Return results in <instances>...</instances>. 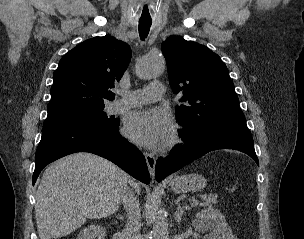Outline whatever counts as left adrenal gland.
<instances>
[{
    "label": "left adrenal gland",
    "mask_w": 304,
    "mask_h": 239,
    "mask_svg": "<svg viewBox=\"0 0 304 239\" xmlns=\"http://www.w3.org/2000/svg\"><path fill=\"white\" fill-rule=\"evenodd\" d=\"M175 205H176V212L174 214V219L176 220V222L178 224H180L181 220H182V216L185 213V210H189L190 207L187 206V205L186 206H182L180 204V202H178V201H175Z\"/></svg>",
    "instance_id": "1"
}]
</instances>
